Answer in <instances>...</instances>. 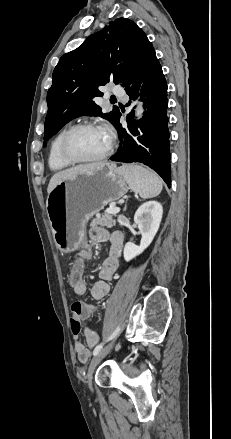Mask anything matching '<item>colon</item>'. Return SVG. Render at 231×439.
Masks as SVG:
<instances>
[{"label": "colon", "mask_w": 231, "mask_h": 439, "mask_svg": "<svg viewBox=\"0 0 231 439\" xmlns=\"http://www.w3.org/2000/svg\"><path fill=\"white\" fill-rule=\"evenodd\" d=\"M85 273H86V268L85 266H83V264H81L80 260L78 259L73 260L72 265L68 269L69 282L72 287L73 295H76L74 293V288L76 283H87L85 279H83ZM81 329L82 327L80 320L78 319L77 316L73 315L71 319V330L73 335L79 336L81 333Z\"/></svg>", "instance_id": "1"}]
</instances>
